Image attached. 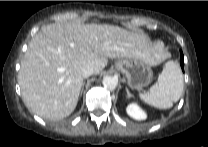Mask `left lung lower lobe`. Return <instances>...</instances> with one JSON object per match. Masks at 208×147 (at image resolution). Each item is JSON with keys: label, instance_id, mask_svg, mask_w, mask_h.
Returning a JSON list of instances; mask_svg holds the SVG:
<instances>
[{"label": "left lung lower lobe", "instance_id": "1", "mask_svg": "<svg viewBox=\"0 0 208 147\" xmlns=\"http://www.w3.org/2000/svg\"><path fill=\"white\" fill-rule=\"evenodd\" d=\"M180 65H181V67L183 69V66H184V56H183L182 51H180Z\"/></svg>", "mask_w": 208, "mask_h": 147}]
</instances>
